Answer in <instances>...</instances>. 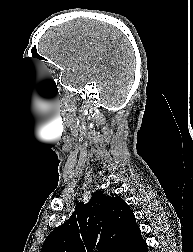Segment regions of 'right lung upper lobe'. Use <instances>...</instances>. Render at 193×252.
Returning a JSON list of instances; mask_svg holds the SVG:
<instances>
[{
    "mask_svg": "<svg viewBox=\"0 0 193 252\" xmlns=\"http://www.w3.org/2000/svg\"><path fill=\"white\" fill-rule=\"evenodd\" d=\"M138 230L121 197L96 191L88 204L78 203L69 220L47 236L41 252H119Z\"/></svg>",
    "mask_w": 193,
    "mask_h": 252,
    "instance_id": "obj_1",
    "label": "right lung upper lobe"
}]
</instances>
